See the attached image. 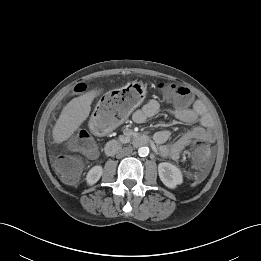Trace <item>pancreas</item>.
Returning <instances> with one entry per match:
<instances>
[{"label":"pancreas","instance_id":"pancreas-1","mask_svg":"<svg viewBox=\"0 0 261 261\" xmlns=\"http://www.w3.org/2000/svg\"><path fill=\"white\" fill-rule=\"evenodd\" d=\"M129 139H130V136H129V135H123V136H120V137H119V140H120L121 142H127Z\"/></svg>","mask_w":261,"mask_h":261}]
</instances>
